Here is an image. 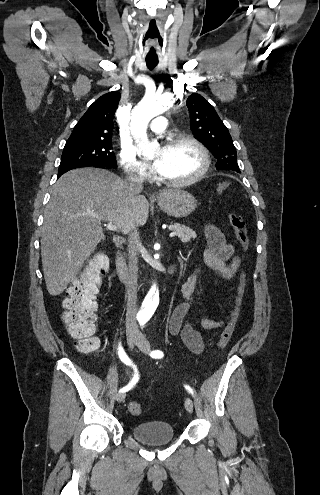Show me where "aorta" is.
<instances>
[{
    "instance_id": "1",
    "label": "aorta",
    "mask_w": 320,
    "mask_h": 495,
    "mask_svg": "<svg viewBox=\"0 0 320 495\" xmlns=\"http://www.w3.org/2000/svg\"><path fill=\"white\" fill-rule=\"evenodd\" d=\"M174 104L175 100L171 94L161 96L146 95L133 108L130 118V130L140 155L151 158L159 150L158 143L149 141L147 126L154 117L166 112ZM158 304L159 291L154 284L143 301V313L147 317L152 316Z\"/></svg>"
}]
</instances>
